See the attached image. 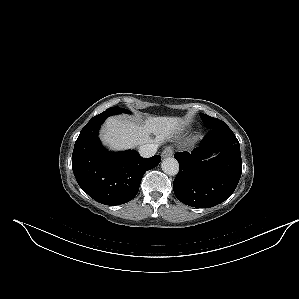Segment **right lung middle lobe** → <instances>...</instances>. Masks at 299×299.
<instances>
[{
    "instance_id": "dd1d6c3e",
    "label": "right lung middle lobe",
    "mask_w": 299,
    "mask_h": 299,
    "mask_svg": "<svg viewBox=\"0 0 299 299\" xmlns=\"http://www.w3.org/2000/svg\"><path fill=\"white\" fill-rule=\"evenodd\" d=\"M107 112H112L113 114H120V113H130L128 110L119 107H111L106 110Z\"/></svg>"
}]
</instances>
